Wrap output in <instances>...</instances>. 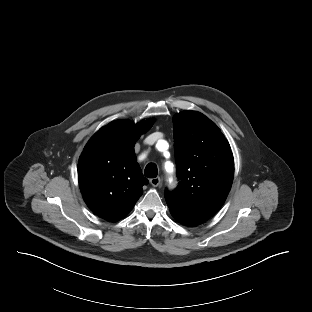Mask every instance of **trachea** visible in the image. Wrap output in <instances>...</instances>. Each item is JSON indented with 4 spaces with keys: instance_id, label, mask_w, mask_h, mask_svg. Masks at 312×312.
<instances>
[{
    "instance_id": "3493384b",
    "label": "trachea",
    "mask_w": 312,
    "mask_h": 312,
    "mask_svg": "<svg viewBox=\"0 0 312 312\" xmlns=\"http://www.w3.org/2000/svg\"><path fill=\"white\" fill-rule=\"evenodd\" d=\"M158 174V169L156 164L154 163H149L146 167H145V176L148 178H155Z\"/></svg>"
}]
</instances>
